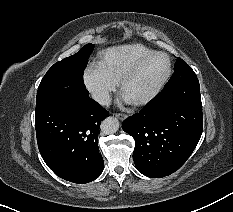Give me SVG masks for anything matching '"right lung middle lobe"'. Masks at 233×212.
I'll use <instances>...</instances> for the list:
<instances>
[{"label":"right lung middle lobe","mask_w":233,"mask_h":212,"mask_svg":"<svg viewBox=\"0 0 233 212\" xmlns=\"http://www.w3.org/2000/svg\"><path fill=\"white\" fill-rule=\"evenodd\" d=\"M93 44H87L76 54L56 62L43 77L37 91L36 111L53 101L64 86L85 88L83 72L87 66ZM66 89V88H65ZM35 111V112H36Z\"/></svg>","instance_id":"obj_1"}]
</instances>
